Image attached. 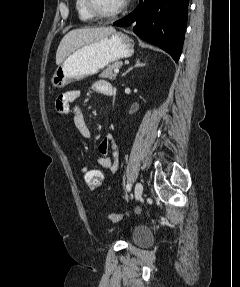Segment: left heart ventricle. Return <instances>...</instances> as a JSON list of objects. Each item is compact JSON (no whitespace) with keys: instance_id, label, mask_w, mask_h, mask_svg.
<instances>
[{"instance_id":"obj_1","label":"left heart ventricle","mask_w":240,"mask_h":287,"mask_svg":"<svg viewBox=\"0 0 240 287\" xmlns=\"http://www.w3.org/2000/svg\"><path fill=\"white\" fill-rule=\"evenodd\" d=\"M98 8L104 12H110L116 9L123 0H95Z\"/></svg>"}]
</instances>
